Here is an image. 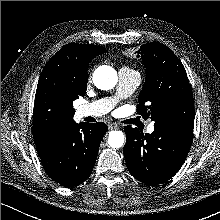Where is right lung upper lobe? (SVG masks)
<instances>
[{"label":"right lung upper lobe","instance_id":"obj_1","mask_svg":"<svg viewBox=\"0 0 220 220\" xmlns=\"http://www.w3.org/2000/svg\"><path fill=\"white\" fill-rule=\"evenodd\" d=\"M106 49L91 44L70 43L45 65L37 85L33 134L35 145L74 123L73 101L87 87L88 65Z\"/></svg>","mask_w":220,"mask_h":220}]
</instances>
